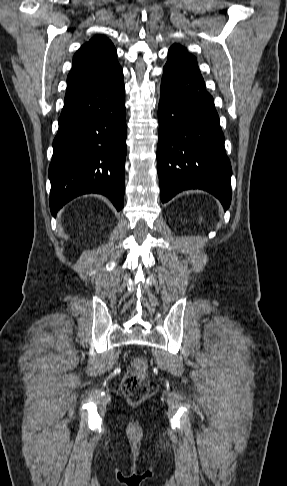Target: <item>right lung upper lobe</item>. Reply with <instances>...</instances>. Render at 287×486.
<instances>
[{"instance_id": "1", "label": "right lung upper lobe", "mask_w": 287, "mask_h": 486, "mask_svg": "<svg viewBox=\"0 0 287 486\" xmlns=\"http://www.w3.org/2000/svg\"><path fill=\"white\" fill-rule=\"evenodd\" d=\"M121 76L123 72L114 45L104 36H95L82 45L73 57L65 100L107 85Z\"/></svg>"}]
</instances>
